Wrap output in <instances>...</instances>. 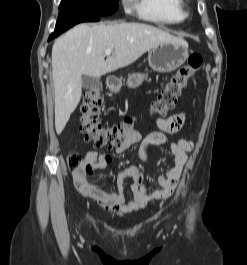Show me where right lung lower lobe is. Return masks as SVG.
<instances>
[{"instance_id":"98d812e1","label":"right lung lower lobe","mask_w":247,"mask_h":265,"mask_svg":"<svg viewBox=\"0 0 247 265\" xmlns=\"http://www.w3.org/2000/svg\"><path fill=\"white\" fill-rule=\"evenodd\" d=\"M101 17L92 16V15H84V16H73L69 18L58 19L55 27L54 33H52L48 39V41L54 39L59 36L61 33L65 32L72 26L81 23V22H90V21H98Z\"/></svg>"}]
</instances>
